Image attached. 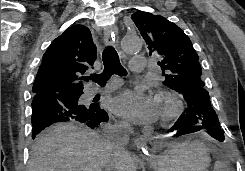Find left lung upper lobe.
I'll list each match as a JSON object with an SVG mask.
<instances>
[{
    "mask_svg": "<svg viewBox=\"0 0 245 171\" xmlns=\"http://www.w3.org/2000/svg\"><path fill=\"white\" fill-rule=\"evenodd\" d=\"M131 19L146 42L149 55L160 56L157 64L162 68L164 85L179 93L189 87H204L198 55L181 28L149 12H135Z\"/></svg>",
    "mask_w": 245,
    "mask_h": 171,
    "instance_id": "obj_1",
    "label": "left lung upper lobe"
}]
</instances>
